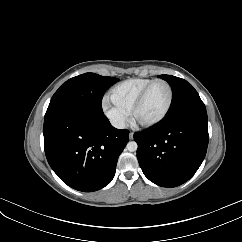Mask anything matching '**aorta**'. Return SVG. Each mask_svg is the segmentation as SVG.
Returning <instances> with one entry per match:
<instances>
[{"label": "aorta", "instance_id": "762f6f07", "mask_svg": "<svg viewBox=\"0 0 242 242\" xmlns=\"http://www.w3.org/2000/svg\"><path fill=\"white\" fill-rule=\"evenodd\" d=\"M126 148H127L128 151L134 152V151L137 150L138 145L135 141H130V142L127 143Z\"/></svg>", "mask_w": 242, "mask_h": 242}]
</instances>
